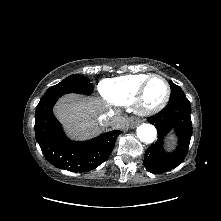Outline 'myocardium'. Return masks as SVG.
I'll return each instance as SVG.
<instances>
[{
    "label": "myocardium",
    "instance_id": "1",
    "mask_svg": "<svg viewBox=\"0 0 221 221\" xmlns=\"http://www.w3.org/2000/svg\"><path fill=\"white\" fill-rule=\"evenodd\" d=\"M156 78L162 80L163 83L165 84L166 94L160 102L154 105H147L145 103V92L151 80L156 79ZM170 96H171V86L168 80L165 79L161 75L153 74V75L148 76L147 79L141 84L136 94L135 100L133 102V106H134L136 113H138L139 115H143V116L151 115L159 111L160 109H162L168 103Z\"/></svg>",
    "mask_w": 221,
    "mask_h": 221
}]
</instances>
